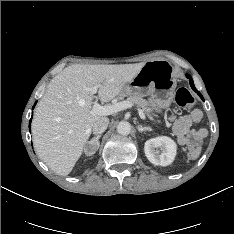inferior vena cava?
I'll use <instances>...</instances> for the list:
<instances>
[{
    "label": "inferior vena cava",
    "mask_w": 234,
    "mask_h": 234,
    "mask_svg": "<svg viewBox=\"0 0 234 234\" xmlns=\"http://www.w3.org/2000/svg\"><path fill=\"white\" fill-rule=\"evenodd\" d=\"M108 124L109 119L107 117L98 119L92 126L93 134L97 135L103 133L107 129Z\"/></svg>",
    "instance_id": "1"
}]
</instances>
